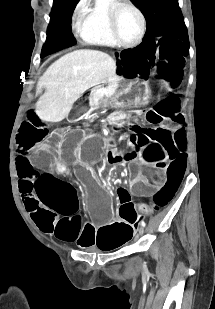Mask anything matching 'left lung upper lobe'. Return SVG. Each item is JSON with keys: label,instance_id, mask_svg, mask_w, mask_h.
Wrapping results in <instances>:
<instances>
[{"label": "left lung upper lobe", "instance_id": "1", "mask_svg": "<svg viewBox=\"0 0 215 309\" xmlns=\"http://www.w3.org/2000/svg\"><path fill=\"white\" fill-rule=\"evenodd\" d=\"M143 12L147 30L143 40L176 38L189 43L178 0H133Z\"/></svg>", "mask_w": 215, "mask_h": 309}]
</instances>
